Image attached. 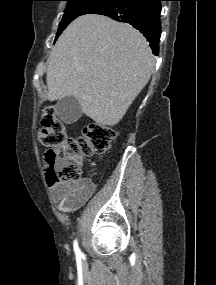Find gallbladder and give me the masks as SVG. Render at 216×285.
I'll return each instance as SVG.
<instances>
[{"mask_svg": "<svg viewBox=\"0 0 216 285\" xmlns=\"http://www.w3.org/2000/svg\"><path fill=\"white\" fill-rule=\"evenodd\" d=\"M55 114L65 124L76 122L82 115L80 102L72 96L64 97L57 101Z\"/></svg>", "mask_w": 216, "mask_h": 285, "instance_id": "obj_1", "label": "gallbladder"}]
</instances>
